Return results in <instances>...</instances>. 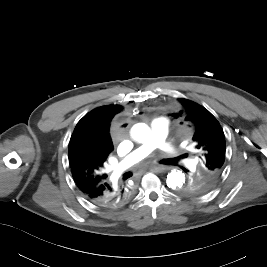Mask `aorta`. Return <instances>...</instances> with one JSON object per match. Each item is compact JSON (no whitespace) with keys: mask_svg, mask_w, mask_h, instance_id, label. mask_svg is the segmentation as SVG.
I'll return each mask as SVG.
<instances>
[{"mask_svg":"<svg viewBox=\"0 0 267 267\" xmlns=\"http://www.w3.org/2000/svg\"><path fill=\"white\" fill-rule=\"evenodd\" d=\"M131 136L135 141L145 143L150 139L151 131L145 123H137L131 128ZM166 183L171 189H179L185 183V175L182 171L173 169L168 173Z\"/></svg>","mask_w":267,"mask_h":267,"instance_id":"obj_1","label":"aorta"}]
</instances>
